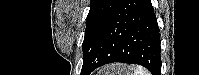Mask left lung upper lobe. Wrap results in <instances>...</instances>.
I'll list each match as a JSON object with an SVG mask.
<instances>
[{"mask_svg": "<svg viewBox=\"0 0 199 75\" xmlns=\"http://www.w3.org/2000/svg\"><path fill=\"white\" fill-rule=\"evenodd\" d=\"M122 0H91L87 16V26L83 41V66L81 73L89 63L105 27Z\"/></svg>", "mask_w": 199, "mask_h": 75, "instance_id": "obj_1", "label": "left lung upper lobe"}]
</instances>
